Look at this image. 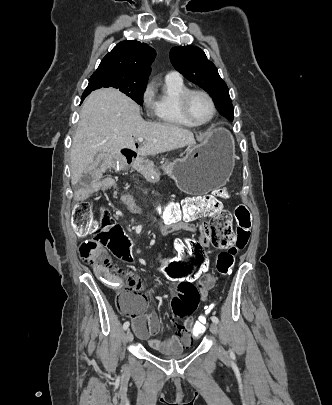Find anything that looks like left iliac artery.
<instances>
[{
    "instance_id": "obj_1",
    "label": "left iliac artery",
    "mask_w": 332,
    "mask_h": 405,
    "mask_svg": "<svg viewBox=\"0 0 332 405\" xmlns=\"http://www.w3.org/2000/svg\"><path fill=\"white\" fill-rule=\"evenodd\" d=\"M211 320H212V322H214L216 324H218V322H219V319L216 316H212Z\"/></svg>"
}]
</instances>
